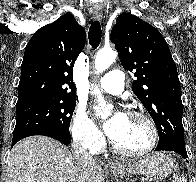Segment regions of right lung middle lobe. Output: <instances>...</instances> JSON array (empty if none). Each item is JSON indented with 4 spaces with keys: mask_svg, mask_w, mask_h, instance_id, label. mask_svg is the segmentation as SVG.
Here are the masks:
<instances>
[{
    "mask_svg": "<svg viewBox=\"0 0 196 182\" xmlns=\"http://www.w3.org/2000/svg\"><path fill=\"white\" fill-rule=\"evenodd\" d=\"M75 105V97L43 98L16 105L13 137L35 129H49L71 138L69 125Z\"/></svg>",
    "mask_w": 196,
    "mask_h": 182,
    "instance_id": "1",
    "label": "right lung middle lobe"
}]
</instances>
